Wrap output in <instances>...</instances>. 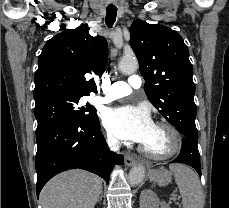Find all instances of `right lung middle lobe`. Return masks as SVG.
<instances>
[{
  "instance_id": "obj_1",
  "label": "right lung middle lobe",
  "mask_w": 229,
  "mask_h": 208,
  "mask_svg": "<svg viewBox=\"0 0 229 208\" xmlns=\"http://www.w3.org/2000/svg\"><path fill=\"white\" fill-rule=\"evenodd\" d=\"M82 96L74 95H52L36 101L34 113L38 122L36 134L57 121L63 119H76L86 123L98 121L96 109L86 104V107L78 106Z\"/></svg>"
}]
</instances>
